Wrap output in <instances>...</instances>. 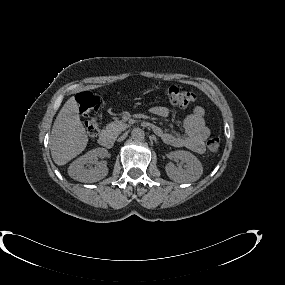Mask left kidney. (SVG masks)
<instances>
[{"label":"left kidney","instance_id":"obj_1","mask_svg":"<svg viewBox=\"0 0 285 285\" xmlns=\"http://www.w3.org/2000/svg\"><path fill=\"white\" fill-rule=\"evenodd\" d=\"M171 156L183 161L185 169L178 168L172 163L167 164L165 170L170 179L178 182H193L200 178L203 166L191 152L178 150L171 152Z\"/></svg>","mask_w":285,"mask_h":285}]
</instances>
